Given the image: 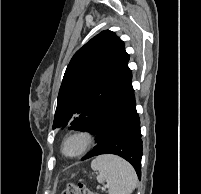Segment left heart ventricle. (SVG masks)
Segmentation results:
<instances>
[{
	"label": "left heart ventricle",
	"instance_id": "left-heart-ventricle-1",
	"mask_svg": "<svg viewBox=\"0 0 201 194\" xmlns=\"http://www.w3.org/2000/svg\"><path fill=\"white\" fill-rule=\"evenodd\" d=\"M81 147V142L79 140H72L69 143H67L65 147V151L67 153H74L79 150Z\"/></svg>",
	"mask_w": 201,
	"mask_h": 194
}]
</instances>
